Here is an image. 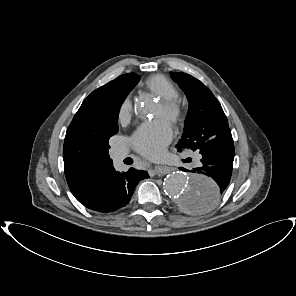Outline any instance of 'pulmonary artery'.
I'll list each match as a JSON object with an SVG mask.
<instances>
[{
	"label": "pulmonary artery",
	"instance_id": "obj_1",
	"mask_svg": "<svg viewBox=\"0 0 296 296\" xmlns=\"http://www.w3.org/2000/svg\"><path fill=\"white\" fill-rule=\"evenodd\" d=\"M127 155V150L124 148H117L113 151V158L116 163L121 162ZM197 160H199V156L197 157Z\"/></svg>",
	"mask_w": 296,
	"mask_h": 296
}]
</instances>
